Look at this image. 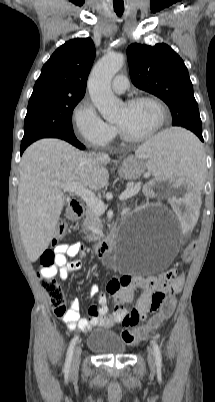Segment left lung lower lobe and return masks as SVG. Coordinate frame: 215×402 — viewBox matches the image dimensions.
<instances>
[{
  "label": "left lung lower lobe",
  "mask_w": 215,
  "mask_h": 402,
  "mask_svg": "<svg viewBox=\"0 0 215 402\" xmlns=\"http://www.w3.org/2000/svg\"><path fill=\"white\" fill-rule=\"evenodd\" d=\"M199 138H200L201 141H204L202 136H199Z\"/></svg>",
  "instance_id": "1"
}]
</instances>
